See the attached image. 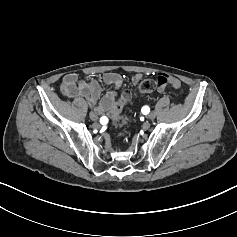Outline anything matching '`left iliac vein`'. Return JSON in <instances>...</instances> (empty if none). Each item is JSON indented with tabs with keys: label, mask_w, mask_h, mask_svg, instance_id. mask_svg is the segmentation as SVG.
Segmentation results:
<instances>
[{
	"label": "left iliac vein",
	"mask_w": 237,
	"mask_h": 237,
	"mask_svg": "<svg viewBox=\"0 0 237 237\" xmlns=\"http://www.w3.org/2000/svg\"><path fill=\"white\" fill-rule=\"evenodd\" d=\"M155 117H156V114L154 113V112H150L148 115H147V118L148 119H155Z\"/></svg>",
	"instance_id": "obj_1"
}]
</instances>
